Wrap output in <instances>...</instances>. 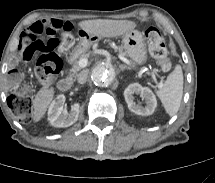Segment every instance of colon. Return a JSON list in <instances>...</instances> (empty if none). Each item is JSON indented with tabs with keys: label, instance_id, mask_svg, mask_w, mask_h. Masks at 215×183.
<instances>
[{
	"label": "colon",
	"instance_id": "1",
	"mask_svg": "<svg viewBox=\"0 0 215 183\" xmlns=\"http://www.w3.org/2000/svg\"><path fill=\"white\" fill-rule=\"evenodd\" d=\"M70 25L66 19L45 18L34 22L30 31L21 35L18 49L20 60H27L38 53L35 73L44 84L56 81L61 69V61L57 51L67 52L74 44L69 32ZM60 36H57V35ZM46 35V37H44ZM146 41L152 56L163 71H169L172 62L166 48L165 40L156 28H148L145 32ZM9 106L16 117L22 122H29L32 118V99L30 88L23 86L14 91L9 97Z\"/></svg>",
	"mask_w": 215,
	"mask_h": 183
}]
</instances>
